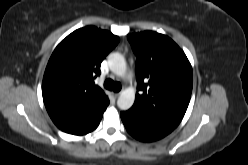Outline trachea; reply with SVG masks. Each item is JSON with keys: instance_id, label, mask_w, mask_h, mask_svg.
Returning <instances> with one entry per match:
<instances>
[{"instance_id": "1", "label": "trachea", "mask_w": 248, "mask_h": 165, "mask_svg": "<svg viewBox=\"0 0 248 165\" xmlns=\"http://www.w3.org/2000/svg\"><path fill=\"white\" fill-rule=\"evenodd\" d=\"M104 87L108 90H112L114 92H119L121 90V84L119 82H114L111 79H107L104 82Z\"/></svg>"}]
</instances>
